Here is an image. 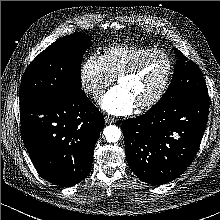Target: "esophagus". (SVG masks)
Segmentation results:
<instances>
[{
  "label": "esophagus",
  "instance_id": "obj_1",
  "mask_svg": "<svg viewBox=\"0 0 220 220\" xmlns=\"http://www.w3.org/2000/svg\"><path fill=\"white\" fill-rule=\"evenodd\" d=\"M104 120L106 123H114L115 122L114 118L107 116V115L104 117Z\"/></svg>",
  "mask_w": 220,
  "mask_h": 220
}]
</instances>
